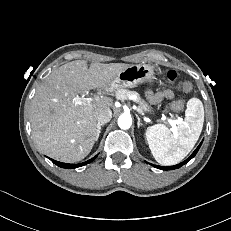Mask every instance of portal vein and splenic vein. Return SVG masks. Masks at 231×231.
<instances>
[{
  "mask_svg": "<svg viewBox=\"0 0 231 231\" xmlns=\"http://www.w3.org/2000/svg\"><path fill=\"white\" fill-rule=\"evenodd\" d=\"M91 98H80V97H76L74 99L75 103L82 105L84 104V102L86 101H91ZM168 123L172 126V129L175 130L176 129V124H179L180 122H182L181 119H177V120H172V119H167Z\"/></svg>",
  "mask_w": 231,
  "mask_h": 231,
  "instance_id": "1",
  "label": "portal vein and splenic vein"
}]
</instances>
